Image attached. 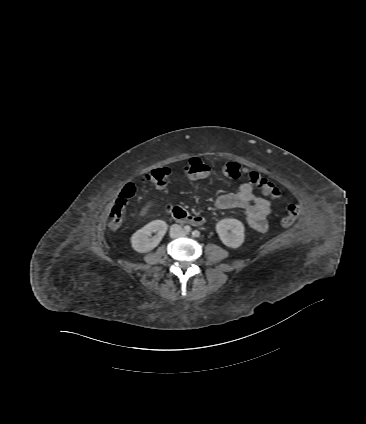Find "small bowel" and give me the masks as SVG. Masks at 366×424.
Returning <instances> with one entry per match:
<instances>
[{
    "mask_svg": "<svg viewBox=\"0 0 366 424\" xmlns=\"http://www.w3.org/2000/svg\"><path fill=\"white\" fill-rule=\"evenodd\" d=\"M216 206L220 209L241 208L247 216L248 225L257 232L268 228L267 217L270 214V202L254 192L250 183H243L236 192H229L217 197Z\"/></svg>",
    "mask_w": 366,
    "mask_h": 424,
    "instance_id": "c3829d8e",
    "label": "small bowel"
}]
</instances>
